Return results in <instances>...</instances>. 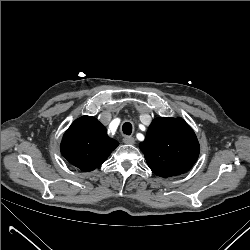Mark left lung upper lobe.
<instances>
[{
	"mask_svg": "<svg viewBox=\"0 0 250 250\" xmlns=\"http://www.w3.org/2000/svg\"><path fill=\"white\" fill-rule=\"evenodd\" d=\"M139 147L153 173L164 178L187 172L200 151L194 131L181 117L154 119Z\"/></svg>",
	"mask_w": 250,
	"mask_h": 250,
	"instance_id": "1",
	"label": "left lung upper lobe"
}]
</instances>
